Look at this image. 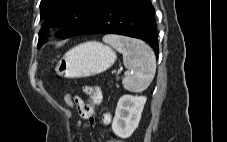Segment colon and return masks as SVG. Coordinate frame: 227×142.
Here are the masks:
<instances>
[{
    "mask_svg": "<svg viewBox=\"0 0 227 142\" xmlns=\"http://www.w3.org/2000/svg\"><path fill=\"white\" fill-rule=\"evenodd\" d=\"M64 100L67 106L72 107L74 105V98L70 93L65 95Z\"/></svg>",
    "mask_w": 227,
    "mask_h": 142,
    "instance_id": "1",
    "label": "colon"
}]
</instances>
